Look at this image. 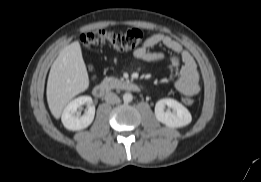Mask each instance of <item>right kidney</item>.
<instances>
[{"label": "right kidney", "mask_w": 261, "mask_h": 182, "mask_svg": "<svg viewBox=\"0 0 261 182\" xmlns=\"http://www.w3.org/2000/svg\"><path fill=\"white\" fill-rule=\"evenodd\" d=\"M92 103L90 96H80L72 100L62 113L61 120L64 127L72 131L87 128L93 122L95 116V107ZM84 104H87L88 110L84 115L79 116L77 109Z\"/></svg>", "instance_id": "ca27d5eb"}]
</instances>
